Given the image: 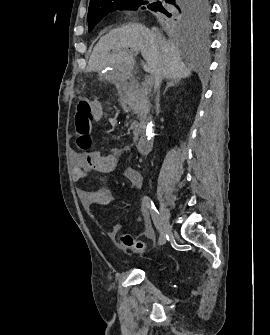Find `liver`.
<instances>
[{
	"mask_svg": "<svg viewBox=\"0 0 270 335\" xmlns=\"http://www.w3.org/2000/svg\"><path fill=\"white\" fill-rule=\"evenodd\" d=\"M130 52H141L145 64L143 70L162 78H189L191 72L186 68L180 56V50L174 42L155 36L153 30L143 24H127L122 28L110 30L96 44L88 62L87 72H103L106 68H118L121 76L130 78L133 72L134 58Z\"/></svg>",
	"mask_w": 270,
	"mask_h": 335,
	"instance_id": "obj_1",
	"label": "liver"
}]
</instances>
